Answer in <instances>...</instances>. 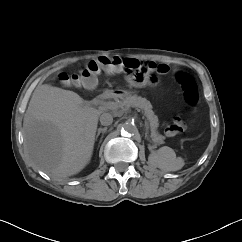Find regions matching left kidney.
Segmentation results:
<instances>
[{"instance_id": "5707ae66", "label": "left kidney", "mask_w": 242, "mask_h": 242, "mask_svg": "<svg viewBox=\"0 0 242 242\" xmlns=\"http://www.w3.org/2000/svg\"><path fill=\"white\" fill-rule=\"evenodd\" d=\"M183 163H182V161L180 162V165H182Z\"/></svg>"}]
</instances>
